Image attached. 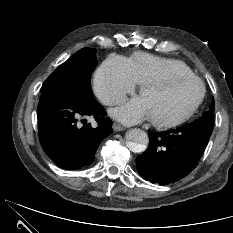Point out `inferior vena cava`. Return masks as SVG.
I'll return each mask as SVG.
<instances>
[{
  "instance_id": "1",
  "label": "inferior vena cava",
  "mask_w": 233,
  "mask_h": 233,
  "mask_svg": "<svg viewBox=\"0 0 233 233\" xmlns=\"http://www.w3.org/2000/svg\"><path fill=\"white\" fill-rule=\"evenodd\" d=\"M118 102H120V99H119V98H116V97L113 98V99H111V100L109 101L110 104H113V103L116 104V103H118Z\"/></svg>"
}]
</instances>
